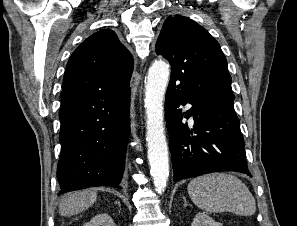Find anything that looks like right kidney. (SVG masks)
Segmentation results:
<instances>
[{
    "instance_id": "right-kidney-1",
    "label": "right kidney",
    "mask_w": 297,
    "mask_h": 226,
    "mask_svg": "<svg viewBox=\"0 0 297 226\" xmlns=\"http://www.w3.org/2000/svg\"><path fill=\"white\" fill-rule=\"evenodd\" d=\"M84 226H115L112 218L108 214H99L94 216L90 222Z\"/></svg>"
}]
</instances>
